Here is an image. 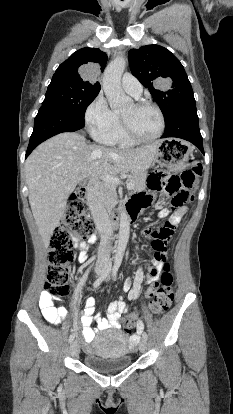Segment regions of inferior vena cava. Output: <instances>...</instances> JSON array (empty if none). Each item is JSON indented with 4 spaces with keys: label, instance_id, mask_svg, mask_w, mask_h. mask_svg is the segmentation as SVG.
<instances>
[{
    "label": "inferior vena cava",
    "instance_id": "obj_1",
    "mask_svg": "<svg viewBox=\"0 0 233 414\" xmlns=\"http://www.w3.org/2000/svg\"><path fill=\"white\" fill-rule=\"evenodd\" d=\"M88 206L96 224L97 229L102 233L101 240L103 241L100 245L98 253V264L108 265L110 264L109 253H112V245L114 233L110 230V218L104 205L103 194L101 190V184L98 178L90 177L88 188Z\"/></svg>",
    "mask_w": 233,
    "mask_h": 414
}]
</instances>
